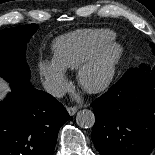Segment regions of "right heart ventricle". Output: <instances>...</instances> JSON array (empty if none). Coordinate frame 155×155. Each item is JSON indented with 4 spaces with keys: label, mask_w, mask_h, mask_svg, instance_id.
<instances>
[{
    "label": "right heart ventricle",
    "mask_w": 155,
    "mask_h": 155,
    "mask_svg": "<svg viewBox=\"0 0 155 155\" xmlns=\"http://www.w3.org/2000/svg\"><path fill=\"white\" fill-rule=\"evenodd\" d=\"M114 39L115 33L108 29L79 30L54 42V60L63 69H77Z\"/></svg>",
    "instance_id": "right-heart-ventricle-1"
}]
</instances>
